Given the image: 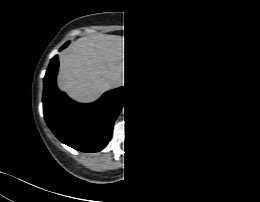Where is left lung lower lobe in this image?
<instances>
[{
    "label": "left lung lower lobe",
    "mask_w": 260,
    "mask_h": 202,
    "mask_svg": "<svg viewBox=\"0 0 260 202\" xmlns=\"http://www.w3.org/2000/svg\"><path fill=\"white\" fill-rule=\"evenodd\" d=\"M152 79L131 92L135 125L143 147L168 155L192 142L203 130L210 112L208 76L194 50L171 52L169 42H157Z\"/></svg>",
    "instance_id": "0a47b994"
}]
</instances>
